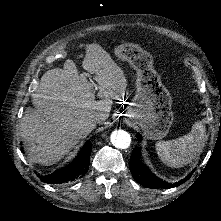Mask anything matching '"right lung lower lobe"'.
I'll return each instance as SVG.
<instances>
[{"mask_svg": "<svg viewBox=\"0 0 221 221\" xmlns=\"http://www.w3.org/2000/svg\"><path fill=\"white\" fill-rule=\"evenodd\" d=\"M23 152V148H21ZM92 151L91 143H86L78 156L66 167L57 170L56 172L38 177L45 183L61 184L70 181H75L83 177L89 169L90 155Z\"/></svg>", "mask_w": 221, "mask_h": 221, "instance_id": "1", "label": "right lung lower lobe"}]
</instances>
